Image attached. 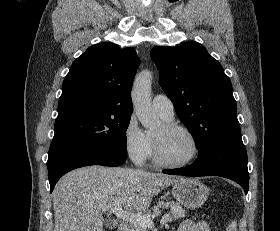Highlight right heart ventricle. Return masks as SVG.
Wrapping results in <instances>:
<instances>
[{
	"mask_svg": "<svg viewBox=\"0 0 280 231\" xmlns=\"http://www.w3.org/2000/svg\"><path fill=\"white\" fill-rule=\"evenodd\" d=\"M162 118L165 120V121H171L172 119H166V118H164L163 116H162ZM149 139H150V141H151V155L153 154V152H154V144H153V141H152V139L149 137Z\"/></svg>",
	"mask_w": 280,
	"mask_h": 231,
	"instance_id": "right-heart-ventricle-1",
	"label": "right heart ventricle"
}]
</instances>
